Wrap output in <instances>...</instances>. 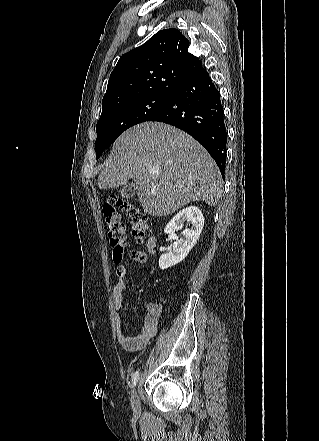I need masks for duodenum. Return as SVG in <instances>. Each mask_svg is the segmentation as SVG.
I'll return each instance as SVG.
<instances>
[{
	"label": "duodenum",
	"instance_id": "410a0bca",
	"mask_svg": "<svg viewBox=\"0 0 319 441\" xmlns=\"http://www.w3.org/2000/svg\"><path fill=\"white\" fill-rule=\"evenodd\" d=\"M154 247H155V241H154L153 238H151V239L148 241V248L152 251V250L154 249Z\"/></svg>",
	"mask_w": 319,
	"mask_h": 441
}]
</instances>
